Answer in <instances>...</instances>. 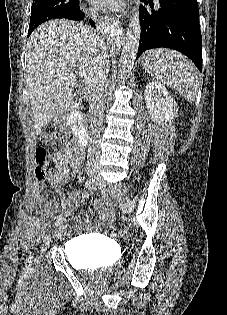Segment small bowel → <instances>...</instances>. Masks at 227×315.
Listing matches in <instances>:
<instances>
[{"instance_id":"small-bowel-1","label":"small bowel","mask_w":227,"mask_h":315,"mask_svg":"<svg viewBox=\"0 0 227 315\" xmlns=\"http://www.w3.org/2000/svg\"><path fill=\"white\" fill-rule=\"evenodd\" d=\"M53 160L56 171L51 176L49 184L54 192L62 198L61 186L65 181L71 179V167L75 170L79 168L82 160V152L77 145L72 144L64 153L54 155ZM33 194L38 206L43 209L44 215L47 217L54 216L61 209L65 215H68L78 204L77 198L74 195H71L70 200L62 198L61 204L49 201L44 191V186L41 183L34 185ZM93 208L100 212L101 219L104 221H108L114 215V208L107 201L97 200L93 203ZM76 222L78 223L79 221L77 220Z\"/></svg>"}]
</instances>
